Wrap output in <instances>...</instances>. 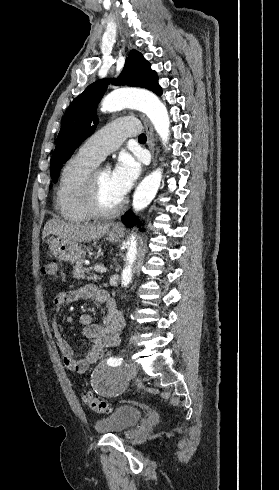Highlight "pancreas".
<instances>
[{
    "mask_svg": "<svg viewBox=\"0 0 279 490\" xmlns=\"http://www.w3.org/2000/svg\"><path fill=\"white\" fill-rule=\"evenodd\" d=\"M84 262L80 260V262H77L75 266H73V278H77V280H101L97 274H90V270L88 268H83Z\"/></svg>",
    "mask_w": 279,
    "mask_h": 490,
    "instance_id": "pancreas-1",
    "label": "pancreas"
}]
</instances>
